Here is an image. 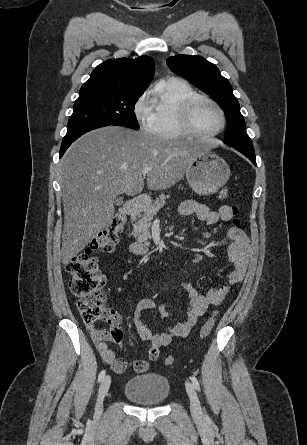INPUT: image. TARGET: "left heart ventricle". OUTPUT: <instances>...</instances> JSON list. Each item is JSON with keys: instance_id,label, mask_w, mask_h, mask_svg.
I'll return each mask as SVG.
<instances>
[{"instance_id": "b2bd125f", "label": "left heart ventricle", "mask_w": 307, "mask_h": 445, "mask_svg": "<svg viewBox=\"0 0 307 445\" xmlns=\"http://www.w3.org/2000/svg\"><path fill=\"white\" fill-rule=\"evenodd\" d=\"M195 120L204 133H212L219 130L223 125L221 112L212 104L200 102L195 110Z\"/></svg>"}]
</instances>
